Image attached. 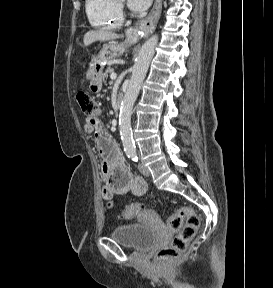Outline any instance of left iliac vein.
<instances>
[{"label":"left iliac vein","instance_id":"4c4485c4","mask_svg":"<svg viewBox=\"0 0 273 288\" xmlns=\"http://www.w3.org/2000/svg\"><path fill=\"white\" fill-rule=\"evenodd\" d=\"M138 168L140 170V172L144 175V176H149L150 175V171L149 169L142 163H140L138 165Z\"/></svg>","mask_w":273,"mask_h":288}]
</instances>
